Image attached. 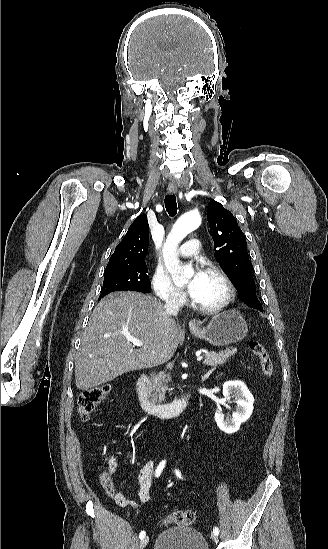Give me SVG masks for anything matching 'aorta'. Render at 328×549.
I'll return each instance as SVG.
<instances>
[{
  "label": "aorta",
  "instance_id": "obj_1",
  "mask_svg": "<svg viewBox=\"0 0 328 549\" xmlns=\"http://www.w3.org/2000/svg\"><path fill=\"white\" fill-rule=\"evenodd\" d=\"M201 224V217L198 212L190 211L183 214L175 222L171 234L169 235L166 254L168 261V271L172 275L173 282L177 286H182L187 283L188 279L193 276V271L189 268L181 269L175 255L176 247L190 232L194 231Z\"/></svg>",
  "mask_w": 328,
  "mask_h": 549
}]
</instances>
